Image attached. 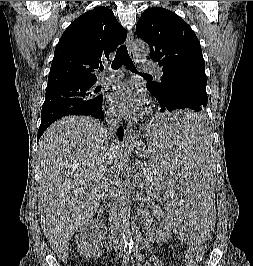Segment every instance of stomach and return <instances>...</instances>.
Segmentation results:
<instances>
[{
  "instance_id": "1",
  "label": "stomach",
  "mask_w": 253,
  "mask_h": 266,
  "mask_svg": "<svg viewBox=\"0 0 253 266\" xmlns=\"http://www.w3.org/2000/svg\"><path fill=\"white\" fill-rule=\"evenodd\" d=\"M156 138L155 132L151 133L149 132L147 135V143H144L142 141H136L131 144L132 149H135V151L141 156L146 157L149 160L150 158V151L152 148V145H156Z\"/></svg>"
}]
</instances>
